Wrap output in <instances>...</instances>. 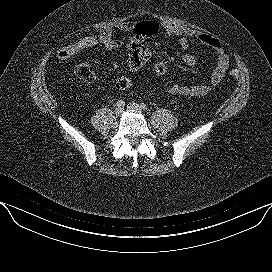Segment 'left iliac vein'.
Segmentation results:
<instances>
[{"label": "left iliac vein", "instance_id": "4c4485c4", "mask_svg": "<svg viewBox=\"0 0 272 272\" xmlns=\"http://www.w3.org/2000/svg\"><path fill=\"white\" fill-rule=\"evenodd\" d=\"M127 110L130 111V112L137 113V114H141L142 113V108L137 103H129L127 105Z\"/></svg>", "mask_w": 272, "mask_h": 272}]
</instances>
